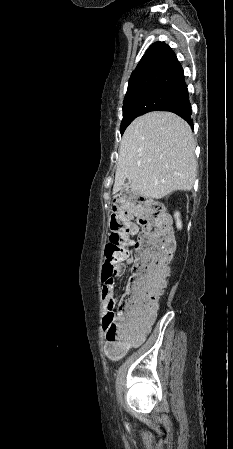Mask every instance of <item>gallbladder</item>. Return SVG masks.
Here are the masks:
<instances>
[{
    "instance_id": "obj_1",
    "label": "gallbladder",
    "mask_w": 233,
    "mask_h": 449,
    "mask_svg": "<svg viewBox=\"0 0 233 449\" xmlns=\"http://www.w3.org/2000/svg\"><path fill=\"white\" fill-rule=\"evenodd\" d=\"M121 193H122L123 195H130V196H132V197H137V196H138V193H137V192L131 191V190L129 189V182H128L127 179L125 180V183H124V185H123V188H122V190H121Z\"/></svg>"
}]
</instances>
